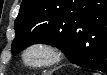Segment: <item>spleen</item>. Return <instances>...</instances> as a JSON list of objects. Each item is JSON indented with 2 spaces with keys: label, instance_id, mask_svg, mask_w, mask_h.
<instances>
[{
  "label": "spleen",
  "instance_id": "3e777b00",
  "mask_svg": "<svg viewBox=\"0 0 107 75\" xmlns=\"http://www.w3.org/2000/svg\"><path fill=\"white\" fill-rule=\"evenodd\" d=\"M93 75H100L99 73H94Z\"/></svg>",
  "mask_w": 107,
  "mask_h": 75
}]
</instances>
